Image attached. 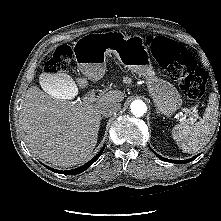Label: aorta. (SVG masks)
<instances>
[{"label":"aorta","instance_id":"obj_1","mask_svg":"<svg viewBox=\"0 0 221 221\" xmlns=\"http://www.w3.org/2000/svg\"><path fill=\"white\" fill-rule=\"evenodd\" d=\"M130 108L131 113L136 117L143 116L147 111V106L142 100H134L131 103Z\"/></svg>","mask_w":221,"mask_h":221}]
</instances>
